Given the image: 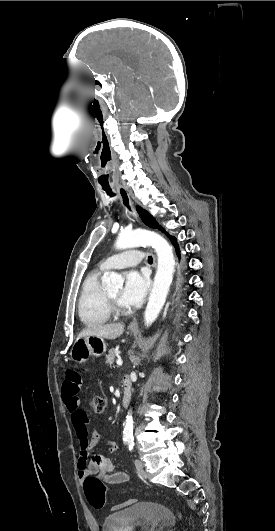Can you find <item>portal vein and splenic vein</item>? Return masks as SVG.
<instances>
[{"label": "portal vein and splenic vein", "instance_id": "portal-vein-and-splenic-vein-1", "mask_svg": "<svg viewBox=\"0 0 275 531\" xmlns=\"http://www.w3.org/2000/svg\"><path fill=\"white\" fill-rule=\"evenodd\" d=\"M116 365H123V361H122V359H117V361H116Z\"/></svg>", "mask_w": 275, "mask_h": 531}]
</instances>
